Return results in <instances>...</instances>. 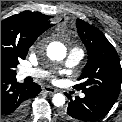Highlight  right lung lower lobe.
<instances>
[{
  "label": "right lung lower lobe",
  "mask_w": 122,
  "mask_h": 122,
  "mask_svg": "<svg viewBox=\"0 0 122 122\" xmlns=\"http://www.w3.org/2000/svg\"><path fill=\"white\" fill-rule=\"evenodd\" d=\"M40 91L36 83L20 84L15 77L1 75V122H21L26 114L27 100Z\"/></svg>",
  "instance_id": "right-lung-lower-lobe-1"
}]
</instances>
